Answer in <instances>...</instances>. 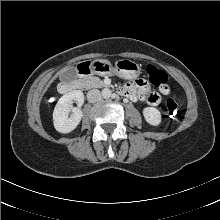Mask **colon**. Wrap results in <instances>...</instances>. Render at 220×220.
I'll return each instance as SVG.
<instances>
[{
    "instance_id": "obj_1",
    "label": "colon",
    "mask_w": 220,
    "mask_h": 220,
    "mask_svg": "<svg viewBox=\"0 0 220 220\" xmlns=\"http://www.w3.org/2000/svg\"><path fill=\"white\" fill-rule=\"evenodd\" d=\"M146 72L149 77V80L154 86L160 87L166 84L167 74L163 70L156 67L155 65H148L146 68ZM179 113L180 110L178 103L173 99H168L166 101V106H165L166 117L170 121L175 122L179 119Z\"/></svg>"
}]
</instances>
